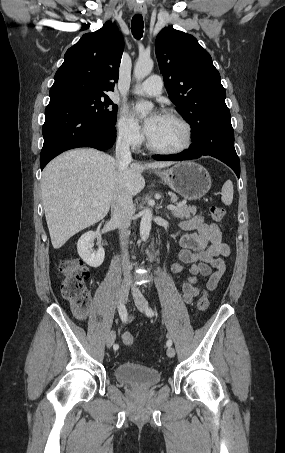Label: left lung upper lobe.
<instances>
[{
    "label": "left lung upper lobe",
    "instance_id": "5c2ea615",
    "mask_svg": "<svg viewBox=\"0 0 285 453\" xmlns=\"http://www.w3.org/2000/svg\"><path fill=\"white\" fill-rule=\"evenodd\" d=\"M155 51L168 96L190 124L191 138L212 128H232L220 74L197 39L166 27Z\"/></svg>",
    "mask_w": 285,
    "mask_h": 453
}]
</instances>
